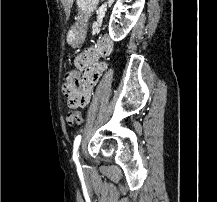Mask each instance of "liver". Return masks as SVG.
Returning a JSON list of instances; mask_svg holds the SVG:
<instances>
[{"instance_id": "liver-1", "label": "liver", "mask_w": 217, "mask_h": 202, "mask_svg": "<svg viewBox=\"0 0 217 202\" xmlns=\"http://www.w3.org/2000/svg\"><path fill=\"white\" fill-rule=\"evenodd\" d=\"M61 2L65 8L66 16H69L74 0H61Z\"/></svg>"}]
</instances>
